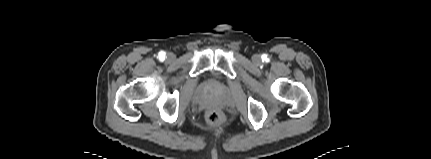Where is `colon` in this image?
Listing matches in <instances>:
<instances>
[{
	"label": "colon",
	"instance_id": "colon-1",
	"mask_svg": "<svg viewBox=\"0 0 431 159\" xmlns=\"http://www.w3.org/2000/svg\"><path fill=\"white\" fill-rule=\"evenodd\" d=\"M206 120L212 125H219L223 120V116L216 110H210L206 113Z\"/></svg>",
	"mask_w": 431,
	"mask_h": 159
}]
</instances>
